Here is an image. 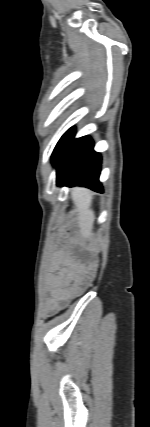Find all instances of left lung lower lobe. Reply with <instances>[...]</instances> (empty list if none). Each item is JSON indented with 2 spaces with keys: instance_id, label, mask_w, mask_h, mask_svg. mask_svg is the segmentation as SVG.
<instances>
[{
  "instance_id": "left-lung-lower-lobe-1",
  "label": "left lung lower lobe",
  "mask_w": 150,
  "mask_h": 427,
  "mask_svg": "<svg viewBox=\"0 0 150 427\" xmlns=\"http://www.w3.org/2000/svg\"><path fill=\"white\" fill-rule=\"evenodd\" d=\"M70 128L57 143L52 162L57 168L58 186H84L102 193L99 182L101 157L93 151V141L85 136L74 140Z\"/></svg>"
}]
</instances>
